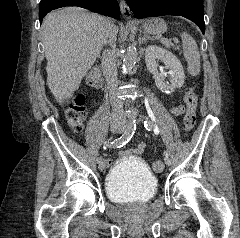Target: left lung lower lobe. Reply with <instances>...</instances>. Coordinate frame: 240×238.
Listing matches in <instances>:
<instances>
[{
	"instance_id": "obj_1",
	"label": "left lung lower lobe",
	"mask_w": 240,
	"mask_h": 238,
	"mask_svg": "<svg viewBox=\"0 0 240 238\" xmlns=\"http://www.w3.org/2000/svg\"><path fill=\"white\" fill-rule=\"evenodd\" d=\"M138 19L164 15L183 16L205 32L203 0H126Z\"/></svg>"
}]
</instances>
